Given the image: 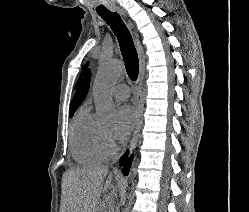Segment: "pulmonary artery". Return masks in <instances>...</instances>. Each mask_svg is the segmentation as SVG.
I'll return each mask as SVG.
<instances>
[{"mask_svg":"<svg viewBox=\"0 0 249 212\" xmlns=\"http://www.w3.org/2000/svg\"><path fill=\"white\" fill-rule=\"evenodd\" d=\"M99 56V54H94ZM113 95L117 99L125 100L130 95V88L126 84H116L113 88Z\"/></svg>","mask_w":249,"mask_h":212,"instance_id":"e3ab8cb5","label":"pulmonary artery"}]
</instances>
